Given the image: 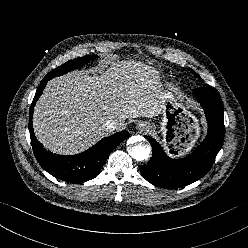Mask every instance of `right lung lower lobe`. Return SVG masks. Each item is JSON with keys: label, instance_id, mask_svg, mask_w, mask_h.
<instances>
[{"label": "right lung lower lobe", "instance_id": "98d812e1", "mask_svg": "<svg viewBox=\"0 0 248 248\" xmlns=\"http://www.w3.org/2000/svg\"><path fill=\"white\" fill-rule=\"evenodd\" d=\"M52 77L46 75L41 81L30 107L29 131L31 145L36 159L49 174L70 183H82L95 178L104 165L112 150L123 140L129 137V133L123 130L106 137L85 152L73 156H61L53 154L43 148L33 133L32 114L33 107L41 96L47 81Z\"/></svg>", "mask_w": 248, "mask_h": 248}]
</instances>
